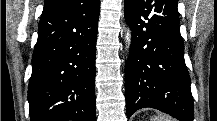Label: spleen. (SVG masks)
I'll return each mask as SVG.
<instances>
[{
	"label": "spleen",
	"mask_w": 217,
	"mask_h": 121,
	"mask_svg": "<svg viewBox=\"0 0 217 121\" xmlns=\"http://www.w3.org/2000/svg\"><path fill=\"white\" fill-rule=\"evenodd\" d=\"M151 121H171V119L170 118H164V117H154V118H152V120Z\"/></svg>",
	"instance_id": "1"
}]
</instances>
